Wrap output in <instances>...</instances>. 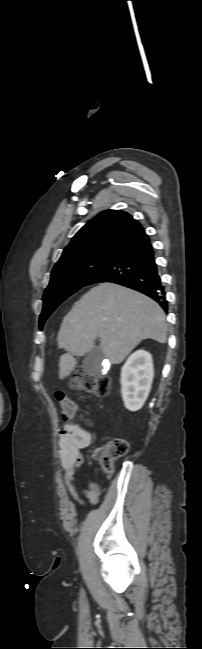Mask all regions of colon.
I'll use <instances>...</instances> for the list:
<instances>
[{"mask_svg": "<svg viewBox=\"0 0 202 649\" xmlns=\"http://www.w3.org/2000/svg\"><path fill=\"white\" fill-rule=\"evenodd\" d=\"M72 389L82 390L89 394L104 396L108 393L110 380L106 376H92L76 374L70 380ZM55 397L60 404L65 418L70 419L76 415V405L65 391H57ZM128 442L122 438L108 440L93 451V459L97 461L107 474L114 471L115 462L128 451Z\"/></svg>", "mask_w": 202, "mask_h": 649, "instance_id": "colon-1", "label": "colon"}]
</instances>
